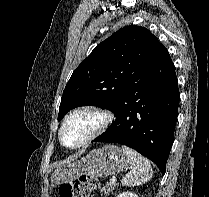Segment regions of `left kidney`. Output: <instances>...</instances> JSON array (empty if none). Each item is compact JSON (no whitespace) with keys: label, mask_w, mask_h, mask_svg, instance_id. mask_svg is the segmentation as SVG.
Listing matches in <instances>:
<instances>
[{"label":"left kidney","mask_w":209,"mask_h":197,"mask_svg":"<svg viewBox=\"0 0 209 197\" xmlns=\"http://www.w3.org/2000/svg\"><path fill=\"white\" fill-rule=\"evenodd\" d=\"M116 197H138V196L132 192H122Z\"/></svg>","instance_id":"left-kidney-1"}]
</instances>
